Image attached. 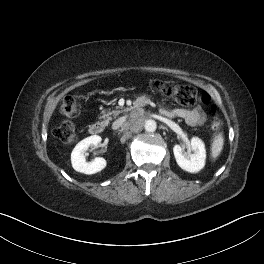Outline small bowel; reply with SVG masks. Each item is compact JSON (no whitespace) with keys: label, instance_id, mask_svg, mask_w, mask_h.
I'll return each mask as SVG.
<instances>
[{"label":"small bowel","instance_id":"c3829d8e","mask_svg":"<svg viewBox=\"0 0 264 264\" xmlns=\"http://www.w3.org/2000/svg\"><path fill=\"white\" fill-rule=\"evenodd\" d=\"M161 112L170 118H181L189 125H199L205 121V114L201 107L161 109Z\"/></svg>","mask_w":264,"mask_h":264}]
</instances>
